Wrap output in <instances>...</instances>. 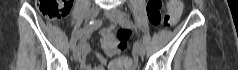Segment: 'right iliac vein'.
<instances>
[{"label":"right iliac vein","instance_id":"1","mask_svg":"<svg viewBox=\"0 0 238 70\" xmlns=\"http://www.w3.org/2000/svg\"><path fill=\"white\" fill-rule=\"evenodd\" d=\"M99 12H100L99 7H97V6L91 7L90 10L88 11L86 19L87 20H92V19L96 18L98 16ZM73 57L77 61L80 60V58H81V49H80L79 46L75 47V49L73 50Z\"/></svg>","mask_w":238,"mask_h":70}]
</instances>
